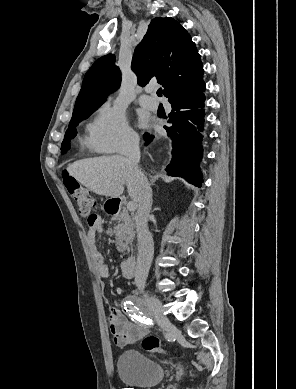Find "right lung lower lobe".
Wrapping results in <instances>:
<instances>
[{
    "label": "right lung lower lobe",
    "instance_id": "right-lung-lower-lobe-1",
    "mask_svg": "<svg viewBox=\"0 0 296 389\" xmlns=\"http://www.w3.org/2000/svg\"><path fill=\"white\" fill-rule=\"evenodd\" d=\"M205 84L193 90H178L171 94L168 101L172 111L169 113V123L165 127L172 145V160L166 167L171 176H180L189 183L200 187L202 174L199 170V160L203 152L201 141L205 123ZM154 136L144 134L146 144Z\"/></svg>",
    "mask_w": 296,
    "mask_h": 389
}]
</instances>
